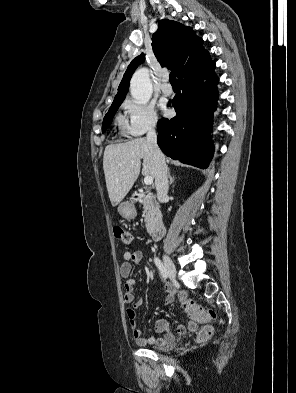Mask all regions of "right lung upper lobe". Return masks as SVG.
Here are the masks:
<instances>
[{"mask_svg":"<svg viewBox=\"0 0 296 393\" xmlns=\"http://www.w3.org/2000/svg\"><path fill=\"white\" fill-rule=\"evenodd\" d=\"M202 43L203 40L190 27L168 19L159 21L158 30L152 36L153 51L159 63L174 70L177 77L205 51ZM143 61V53L131 61L114 101L125 99L131 76Z\"/></svg>","mask_w":296,"mask_h":393,"instance_id":"cb5924a9","label":"right lung upper lobe"}]
</instances>
